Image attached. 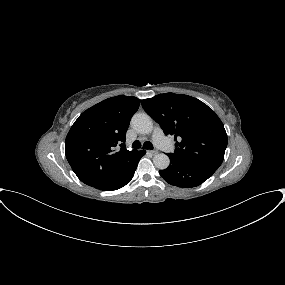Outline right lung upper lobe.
<instances>
[{
  "mask_svg": "<svg viewBox=\"0 0 285 285\" xmlns=\"http://www.w3.org/2000/svg\"><path fill=\"white\" fill-rule=\"evenodd\" d=\"M140 99L120 95L111 97L83 112L65 140L67 160L77 177L97 187L126 175L139 151H129L125 136Z\"/></svg>",
  "mask_w": 285,
  "mask_h": 285,
  "instance_id": "obj_1",
  "label": "right lung upper lobe"
}]
</instances>
